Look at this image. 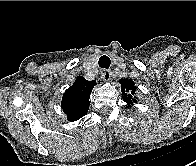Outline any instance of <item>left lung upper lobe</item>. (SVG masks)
<instances>
[{
	"label": "left lung upper lobe",
	"instance_id": "left-lung-upper-lobe-1",
	"mask_svg": "<svg viewBox=\"0 0 196 166\" xmlns=\"http://www.w3.org/2000/svg\"><path fill=\"white\" fill-rule=\"evenodd\" d=\"M120 84L123 94V100L129 107H131V105H133V102H136V100L134 99V94L136 91L134 82L131 79H121Z\"/></svg>",
	"mask_w": 196,
	"mask_h": 166
}]
</instances>
